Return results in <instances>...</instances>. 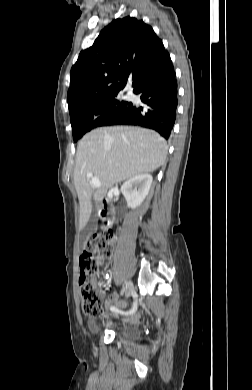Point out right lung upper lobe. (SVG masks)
<instances>
[{
    "mask_svg": "<svg viewBox=\"0 0 252 390\" xmlns=\"http://www.w3.org/2000/svg\"><path fill=\"white\" fill-rule=\"evenodd\" d=\"M174 71L169 53L151 26L132 17L106 26L94 44L79 54L70 73L69 111L117 95L129 76L134 92L151 79Z\"/></svg>",
    "mask_w": 252,
    "mask_h": 390,
    "instance_id": "right-lung-upper-lobe-1",
    "label": "right lung upper lobe"
}]
</instances>
